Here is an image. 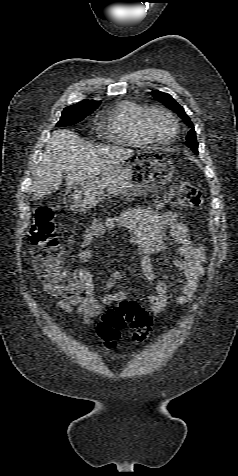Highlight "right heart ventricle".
<instances>
[{"instance_id": "obj_1", "label": "right heart ventricle", "mask_w": 238, "mask_h": 476, "mask_svg": "<svg viewBox=\"0 0 238 476\" xmlns=\"http://www.w3.org/2000/svg\"><path fill=\"white\" fill-rule=\"evenodd\" d=\"M146 107L140 103L124 100L119 102L109 117V130L114 140L136 147H145L152 142L141 128V117Z\"/></svg>"}]
</instances>
